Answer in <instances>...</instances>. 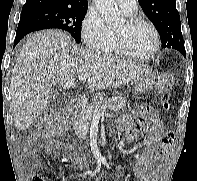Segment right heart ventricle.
Instances as JSON below:
<instances>
[{
    "label": "right heart ventricle",
    "instance_id": "obj_1",
    "mask_svg": "<svg viewBox=\"0 0 197 181\" xmlns=\"http://www.w3.org/2000/svg\"><path fill=\"white\" fill-rule=\"evenodd\" d=\"M129 15H131V14H129ZM102 53L105 55H110V56L122 55L117 49L113 33H112L111 41L109 42L108 46L102 51Z\"/></svg>",
    "mask_w": 197,
    "mask_h": 181
}]
</instances>
